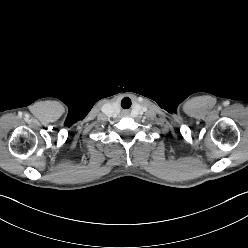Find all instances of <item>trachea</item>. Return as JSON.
<instances>
[{
	"instance_id": "trachea-1",
	"label": "trachea",
	"mask_w": 248,
	"mask_h": 248,
	"mask_svg": "<svg viewBox=\"0 0 248 248\" xmlns=\"http://www.w3.org/2000/svg\"><path fill=\"white\" fill-rule=\"evenodd\" d=\"M126 100H129V99H124V101L122 102V106H123L124 102H126ZM130 105H131V101H130Z\"/></svg>"
}]
</instances>
